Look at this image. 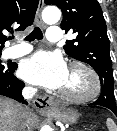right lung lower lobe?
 I'll use <instances>...</instances> for the list:
<instances>
[{
	"mask_svg": "<svg viewBox=\"0 0 117 131\" xmlns=\"http://www.w3.org/2000/svg\"><path fill=\"white\" fill-rule=\"evenodd\" d=\"M16 63H9L0 69V95L10 97L16 101L27 104L21 95L24 83L14 76Z\"/></svg>",
	"mask_w": 117,
	"mask_h": 131,
	"instance_id": "98d812e1",
	"label": "right lung lower lobe"
}]
</instances>
